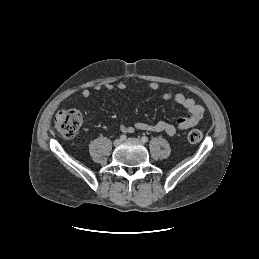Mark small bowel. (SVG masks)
<instances>
[{
    "label": "small bowel",
    "instance_id": "small-bowel-1",
    "mask_svg": "<svg viewBox=\"0 0 259 259\" xmlns=\"http://www.w3.org/2000/svg\"><path fill=\"white\" fill-rule=\"evenodd\" d=\"M127 85L120 81L116 84L105 83L98 84L95 86V90L99 91L103 88L114 91V90H125ZM160 87L158 82H151L149 88L153 91L158 90ZM91 95L90 89H84L82 91V96L88 98ZM161 97L164 100L173 99L178 105L184 107L188 115L179 117L176 124H172L165 121H158L156 123L150 124L145 122H136L134 125H121L120 130L123 133H133L135 130H143L148 132L165 133L168 136H174L178 130H186L195 125H197L203 117L204 108L203 106L197 104L194 99L185 96L183 93H171L169 91H163Z\"/></svg>",
    "mask_w": 259,
    "mask_h": 259
}]
</instances>
